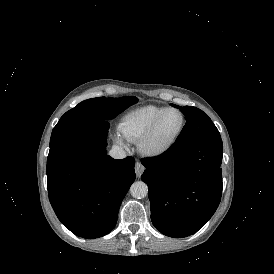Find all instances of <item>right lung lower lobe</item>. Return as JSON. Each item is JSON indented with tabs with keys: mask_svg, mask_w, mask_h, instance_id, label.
<instances>
[{
	"mask_svg": "<svg viewBox=\"0 0 274 274\" xmlns=\"http://www.w3.org/2000/svg\"><path fill=\"white\" fill-rule=\"evenodd\" d=\"M108 120L95 122L50 147L47 188L59 220L77 236L108 234L119 207L135 180L132 157L106 155Z\"/></svg>",
	"mask_w": 274,
	"mask_h": 274,
	"instance_id": "obj_1",
	"label": "right lung lower lobe"
}]
</instances>
